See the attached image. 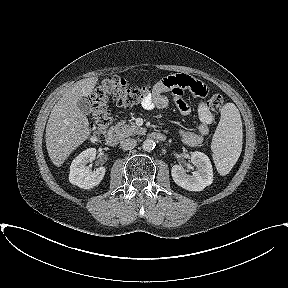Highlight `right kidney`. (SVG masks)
Masks as SVG:
<instances>
[{"mask_svg": "<svg viewBox=\"0 0 288 288\" xmlns=\"http://www.w3.org/2000/svg\"><path fill=\"white\" fill-rule=\"evenodd\" d=\"M96 156V149L89 148L81 152L70 166L69 181L83 189H90L97 186L103 179L106 169L99 167L96 171H90L86 164L92 162Z\"/></svg>", "mask_w": 288, "mask_h": 288, "instance_id": "ca27d5eb", "label": "right kidney"}]
</instances>
